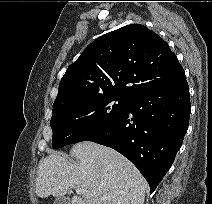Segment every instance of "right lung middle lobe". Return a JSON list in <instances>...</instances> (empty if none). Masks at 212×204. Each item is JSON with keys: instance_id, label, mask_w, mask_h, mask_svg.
<instances>
[{"instance_id": "right-lung-middle-lobe-1", "label": "right lung middle lobe", "mask_w": 212, "mask_h": 204, "mask_svg": "<svg viewBox=\"0 0 212 204\" xmlns=\"http://www.w3.org/2000/svg\"><path fill=\"white\" fill-rule=\"evenodd\" d=\"M128 100L125 96L106 95L53 109V148L84 141L112 125L125 111Z\"/></svg>"}]
</instances>
